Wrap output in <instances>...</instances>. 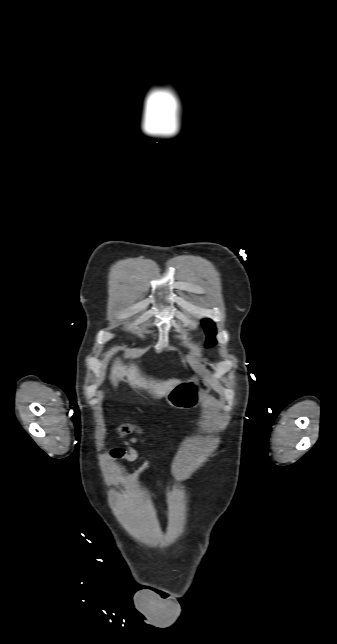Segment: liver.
Instances as JSON below:
<instances>
[{
  "label": "liver",
  "mask_w": 337,
  "mask_h": 644,
  "mask_svg": "<svg viewBox=\"0 0 337 644\" xmlns=\"http://www.w3.org/2000/svg\"><path fill=\"white\" fill-rule=\"evenodd\" d=\"M127 378V382L133 388L145 389L153 394L156 398L167 396V394L180 383L178 379H169L167 381H156L144 377L139 368L135 364L124 365L119 359L115 360L112 365L110 380L114 386L123 378Z\"/></svg>",
  "instance_id": "6515ba94"
}]
</instances>
